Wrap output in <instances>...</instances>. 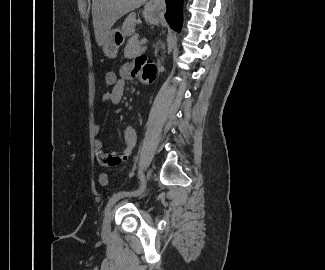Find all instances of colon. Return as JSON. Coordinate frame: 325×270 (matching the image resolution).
<instances>
[{
  "instance_id": "colon-1",
  "label": "colon",
  "mask_w": 325,
  "mask_h": 270,
  "mask_svg": "<svg viewBox=\"0 0 325 270\" xmlns=\"http://www.w3.org/2000/svg\"><path fill=\"white\" fill-rule=\"evenodd\" d=\"M104 80L107 87L113 88L119 82V75L114 70H108L105 73ZM108 180L109 178L107 174H101L99 177V182L102 186H106L108 184Z\"/></svg>"
}]
</instances>
